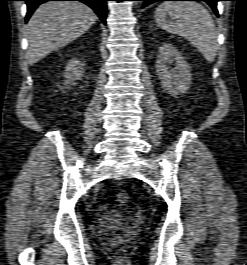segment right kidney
I'll list each match as a JSON object with an SVG mask.
<instances>
[{
    "label": "right kidney",
    "mask_w": 247,
    "mask_h": 265,
    "mask_svg": "<svg viewBox=\"0 0 247 265\" xmlns=\"http://www.w3.org/2000/svg\"><path fill=\"white\" fill-rule=\"evenodd\" d=\"M83 66L84 63H82L80 60L78 59H71L66 67H65V71H64V77H65V82L64 85H75V80H79L82 77L83 74Z\"/></svg>",
    "instance_id": "obj_1"
}]
</instances>
